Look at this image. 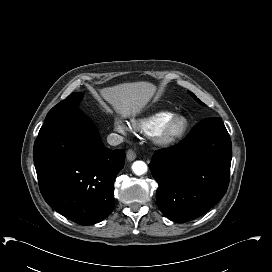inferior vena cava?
<instances>
[{"mask_svg": "<svg viewBox=\"0 0 272 272\" xmlns=\"http://www.w3.org/2000/svg\"><path fill=\"white\" fill-rule=\"evenodd\" d=\"M107 142L111 146H117L123 142V137L116 133H111L107 137Z\"/></svg>", "mask_w": 272, "mask_h": 272, "instance_id": "602c4592", "label": "inferior vena cava"}]
</instances>
